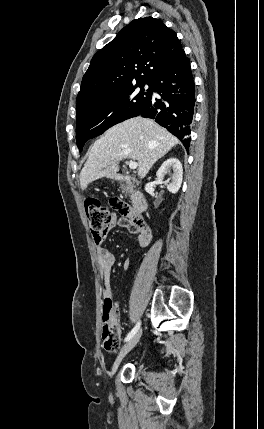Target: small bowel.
I'll return each mask as SVG.
<instances>
[{"mask_svg":"<svg viewBox=\"0 0 264 429\" xmlns=\"http://www.w3.org/2000/svg\"><path fill=\"white\" fill-rule=\"evenodd\" d=\"M115 226L126 227L131 233L138 236V242L141 246H146L151 240V230L148 225L141 220L129 221L125 218H117L116 215H112L109 223L107 224L104 235L100 239L94 238V242L97 248V261L98 266L103 277V298H111V271L115 264V255L103 246V240L106 234ZM125 270L130 269L129 263H124Z\"/></svg>","mask_w":264,"mask_h":429,"instance_id":"small-bowel-1","label":"small bowel"}]
</instances>
